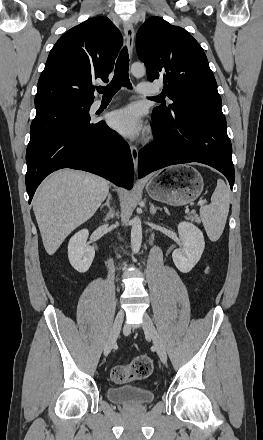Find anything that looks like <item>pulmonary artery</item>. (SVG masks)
Returning <instances> with one entry per match:
<instances>
[{
    "mask_svg": "<svg viewBox=\"0 0 263 440\" xmlns=\"http://www.w3.org/2000/svg\"><path fill=\"white\" fill-rule=\"evenodd\" d=\"M159 90H158V88L157 87H155V86H151V87H149L147 84H145V83H139L138 85H137V92L139 93V94H142V95H144V94H154V93H157ZM103 105V102H102V100H96L94 103H93V105H92V109L93 110H97L98 108H100L101 106Z\"/></svg>",
    "mask_w": 263,
    "mask_h": 440,
    "instance_id": "e3ab8cb5",
    "label": "pulmonary artery"
}]
</instances>
